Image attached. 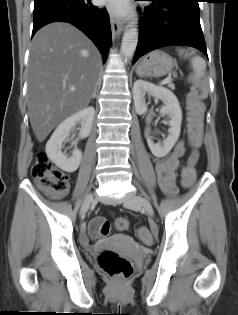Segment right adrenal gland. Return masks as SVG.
<instances>
[{
	"label": "right adrenal gland",
	"mask_w": 238,
	"mask_h": 315,
	"mask_svg": "<svg viewBox=\"0 0 238 315\" xmlns=\"http://www.w3.org/2000/svg\"><path fill=\"white\" fill-rule=\"evenodd\" d=\"M96 92H97V84L95 85V90H94V93H93L92 98H95V97H96Z\"/></svg>",
	"instance_id": "obj_1"
}]
</instances>
